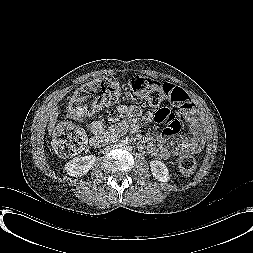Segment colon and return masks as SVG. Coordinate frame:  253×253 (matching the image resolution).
I'll return each mask as SVG.
<instances>
[{
  "mask_svg": "<svg viewBox=\"0 0 253 253\" xmlns=\"http://www.w3.org/2000/svg\"><path fill=\"white\" fill-rule=\"evenodd\" d=\"M129 88L141 96L149 105L157 106L163 101H174L176 88L169 83L134 76L129 80ZM125 88L112 79H99L79 89L68 106L71 116H85L105 105H111L124 97ZM53 150L59 157H71L80 153L86 145V137L70 123L60 124L54 133ZM181 173L191 174L196 167V158L190 154L181 155L177 160Z\"/></svg>",
  "mask_w": 253,
  "mask_h": 253,
  "instance_id": "5ec220e1",
  "label": "colon"
}]
</instances>
